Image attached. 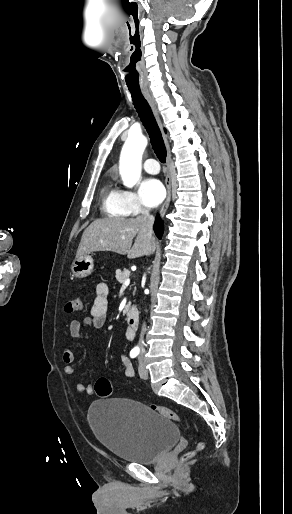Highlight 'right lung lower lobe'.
<instances>
[{
  "instance_id": "obj_1",
  "label": "right lung lower lobe",
  "mask_w": 292,
  "mask_h": 514,
  "mask_svg": "<svg viewBox=\"0 0 292 514\" xmlns=\"http://www.w3.org/2000/svg\"><path fill=\"white\" fill-rule=\"evenodd\" d=\"M154 231L159 239H161L164 227H163V221L159 216L156 217L155 224H154Z\"/></svg>"
}]
</instances>
